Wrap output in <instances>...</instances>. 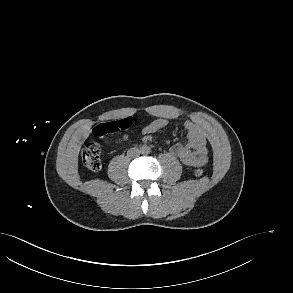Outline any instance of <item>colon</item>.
Instances as JSON below:
<instances>
[{"label": "colon", "mask_w": 293, "mask_h": 293, "mask_svg": "<svg viewBox=\"0 0 293 293\" xmlns=\"http://www.w3.org/2000/svg\"><path fill=\"white\" fill-rule=\"evenodd\" d=\"M132 125L133 121L130 118L122 119L116 122H106L98 125L94 129L93 133L97 137H103L106 135L127 131L132 127ZM127 137L128 135L124 134L120 137V140H124ZM82 162L84 166L92 172H96L100 169V147L96 142L91 141L85 144L82 150ZM193 173L196 177H200L204 172L201 168H196Z\"/></svg>", "instance_id": "obj_1"}]
</instances>
